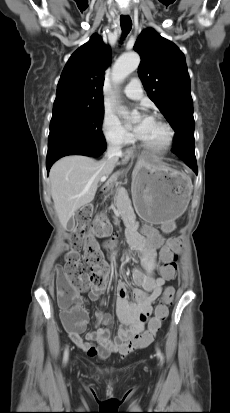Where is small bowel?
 Wrapping results in <instances>:
<instances>
[{"label":"small bowel","mask_w":230,"mask_h":413,"mask_svg":"<svg viewBox=\"0 0 230 413\" xmlns=\"http://www.w3.org/2000/svg\"><path fill=\"white\" fill-rule=\"evenodd\" d=\"M176 222H163L160 225L163 231H176ZM106 232H101L104 235ZM145 235L142 236L134 229H129L127 236L132 247L141 253L142 263L148 271L135 269L132 273V280L137 286L130 291L132 301L129 300V289L125 282L117 284V316L121 322V327L111 338L110 327L113 319L109 315L101 312L95 314L97 325L94 330L86 333L85 338L82 332L87 324V313L81 306V298L76 294L77 307L81 310V317L76 319L73 311H63L61 318L64 327L74 344L88 353L90 356L106 358L112 353L119 352L126 355L125 346L135 339H139L145 331L149 316L152 313L153 302L168 291L174 294V288L166 286L168 281L161 275L154 277L149 271L154 264L155 248L161 245L160 235L152 228H145ZM165 249V247L162 249ZM111 259L115 257L113 252L110 253ZM163 267V266H162ZM164 268V267H163ZM108 278V272L105 275V283L102 287H91L88 297L91 301H96L102 290L105 289ZM105 325L104 327L100 326Z\"/></svg>","instance_id":"c3829d8e"}]
</instances>
